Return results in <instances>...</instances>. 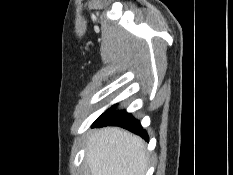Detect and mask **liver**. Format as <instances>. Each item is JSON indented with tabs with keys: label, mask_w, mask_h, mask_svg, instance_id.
<instances>
[{
	"label": "liver",
	"mask_w": 233,
	"mask_h": 175,
	"mask_svg": "<svg viewBox=\"0 0 233 175\" xmlns=\"http://www.w3.org/2000/svg\"><path fill=\"white\" fill-rule=\"evenodd\" d=\"M85 159L91 175H145L147 169L143 140L118 127L95 131Z\"/></svg>",
	"instance_id": "liver-1"
}]
</instances>
